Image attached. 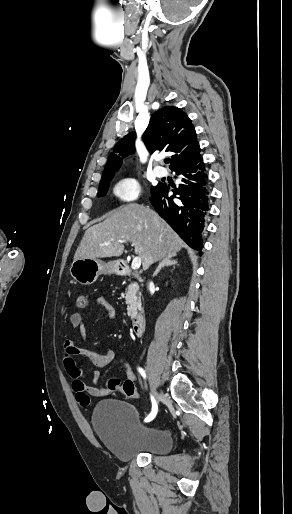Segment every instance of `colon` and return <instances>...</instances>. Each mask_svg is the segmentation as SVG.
<instances>
[{"mask_svg":"<svg viewBox=\"0 0 292 514\" xmlns=\"http://www.w3.org/2000/svg\"><path fill=\"white\" fill-rule=\"evenodd\" d=\"M87 304V294L84 292L79 293L75 299V309L83 310L84 308H86ZM106 386L113 391H119L121 395H126L128 399H139V395L134 394L136 390L134 384H124L118 379L111 378L106 382Z\"/></svg>","mask_w":292,"mask_h":514,"instance_id":"colon-1","label":"colon"}]
</instances>
